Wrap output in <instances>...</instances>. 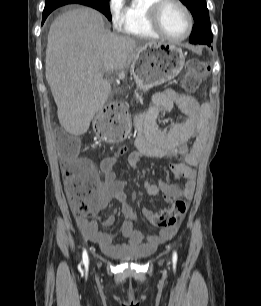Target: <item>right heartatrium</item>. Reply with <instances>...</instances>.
<instances>
[{
    "mask_svg": "<svg viewBox=\"0 0 261 306\" xmlns=\"http://www.w3.org/2000/svg\"><path fill=\"white\" fill-rule=\"evenodd\" d=\"M108 11L113 27L116 29H120L123 24V14H124L123 0H109Z\"/></svg>",
    "mask_w": 261,
    "mask_h": 306,
    "instance_id": "d8ad5b80",
    "label": "right heart atrium"
}]
</instances>
